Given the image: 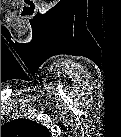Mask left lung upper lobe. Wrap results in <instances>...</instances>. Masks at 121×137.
I'll return each mask as SVG.
<instances>
[{
  "label": "left lung upper lobe",
  "instance_id": "1",
  "mask_svg": "<svg viewBox=\"0 0 121 137\" xmlns=\"http://www.w3.org/2000/svg\"><path fill=\"white\" fill-rule=\"evenodd\" d=\"M1 134L10 137H46L49 130L43 125L29 119H15L1 127Z\"/></svg>",
  "mask_w": 121,
  "mask_h": 137
}]
</instances>
